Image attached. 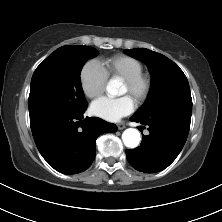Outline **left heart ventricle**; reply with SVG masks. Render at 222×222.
Returning <instances> with one entry per match:
<instances>
[{"mask_svg": "<svg viewBox=\"0 0 222 222\" xmlns=\"http://www.w3.org/2000/svg\"><path fill=\"white\" fill-rule=\"evenodd\" d=\"M121 95H125V94H128L130 95L129 91H128V88L126 87V85L123 83L122 84V88H121V92H120ZM131 96V95H130ZM132 97V96H131Z\"/></svg>", "mask_w": 222, "mask_h": 222, "instance_id": "1", "label": "left heart ventricle"}]
</instances>
